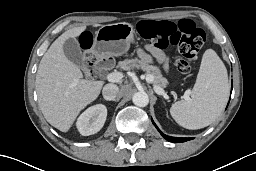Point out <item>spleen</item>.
Returning <instances> with one entry per match:
<instances>
[{"mask_svg": "<svg viewBox=\"0 0 256 171\" xmlns=\"http://www.w3.org/2000/svg\"><path fill=\"white\" fill-rule=\"evenodd\" d=\"M228 95L226 67L214 50L207 49L202 57L191 98L175 102L170 108V114L186 129L204 128L220 116Z\"/></svg>", "mask_w": 256, "mask_h": 171, "instance_id": "spleen-1", "label": "spleen"}]
</instances>
